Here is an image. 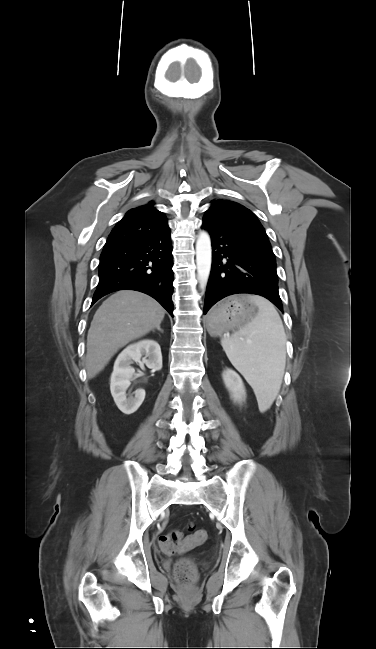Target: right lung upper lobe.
<instances>
[{
  "label": "right lung upper lobe",
  "mask_w": 376,
  "mask_h": 649,
  "mask_svg": "<svg viewBox=\"0 0 376 649\" xmlns=\"http://www.w3.org/2000/svg\"><path fill=\"white\" fill-rule=\"evenodd\" d=\"M154 203L129 210L110 233L104 247H111L168 229L165 215Z\"/></svg>",
  "instance_id": "1"
}]
</instances>
